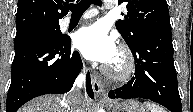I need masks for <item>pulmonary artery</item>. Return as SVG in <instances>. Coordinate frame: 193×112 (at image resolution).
Listing matches in <instances>:
<instances>
[{"instance_id": "obj_1", "label": "pulmonary artery", "mask_w": 193, "mask_h": 112, "mask_svg": "<svg viewBox=\"0 0 193 112\" xmlns=\"http://www.w3.org/2000/svg\"><path fill=\"white\" fill-rule=\"evenodd\" d=\"M105 7L108 8V9H114V8H115V4H114L113 1L107 0V1L105 2ZM97 13H98V12H97L95 9H92V10H89V11H87L86 13H84L81 18H82V19H89V18H92V17L96 16ZM69 20H70V19H67V20H66V24L69 23Z\"/></svg>"}]
</instances>
